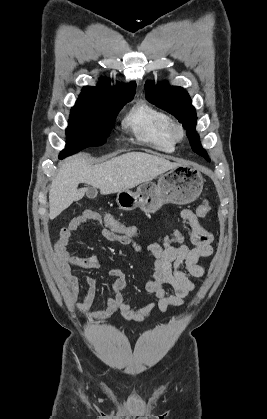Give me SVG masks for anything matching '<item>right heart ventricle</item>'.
<instances>
[{"label": "right heart ventricle", "mask_w": 267, "mask_h": 419, "mask_svg": "<svg viewBox=\"0 0 267 419\" xmlns=\"http://www.w3.org/2000/svg\"><path fill=\"white\" fill-rule=\"evenodd\" d=\"M170 117L162 110L144 102L135 103L125 115L122 124L137 141L170 153L175 149L168 135Z\"/></svg>", "instance_id": "1"}]
</instances>
